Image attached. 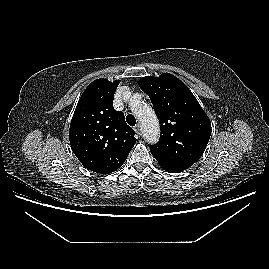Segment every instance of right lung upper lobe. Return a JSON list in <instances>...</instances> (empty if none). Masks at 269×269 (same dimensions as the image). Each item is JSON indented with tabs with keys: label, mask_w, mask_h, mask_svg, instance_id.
Wrapping results in <instances>:
<instances>
[{
	"label": "right lung upper lobe",
	"mask_w": 269,
	"mask_h": 269,
	"mask_svg": "<svg viewBox=\"0 0 269 269\" xmlns=\"http://www.w3.org/2000/svg\"><path fill=\"white\" fill-rule=\"evenodd\" d=\"M120 80L97 79L85 89L69 130L71 149L88 170L107 174L117 170L136 143L134 130L113 108Z\"/></svg>",
	"instance_id": "right-lung-upper-lobe-1"
}]
</instances>
